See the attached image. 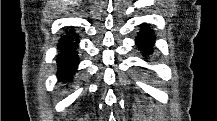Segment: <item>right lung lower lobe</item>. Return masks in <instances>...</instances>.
Masks as SVG:
<instances>
[{
	"mask_svg": "<svg viewBox=\"0 0 217 121\" xmlns=\"http://www.w3.org/2000/svg\"><path fill=\"white\" fill-rule=\"evenodd\" d=\"M78 36L72 30L66 32L61 37L58 44L59 54L57 55L58 73L59 80L68 82L72 79L78 67Z\"/></svg>",
	"mask_w": 217,
	"mask_h": 121,
	"instance_id": "1",
	"label": "right lung lower lobe"
}]
</instances>
